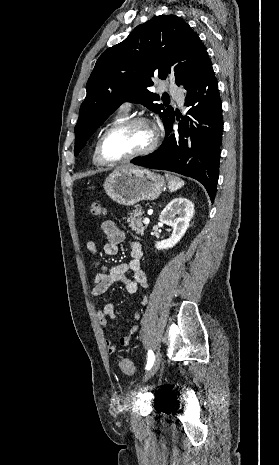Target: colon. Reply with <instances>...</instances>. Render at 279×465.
Returning a JSON list of instances; mask_svg holds the SVG:
<instances>
[{"label":"colon","mask_w":279,"mask_h":465,"mask_svg":"<svg viewBox=\"0 0 279 465\" xmlns=\"http://www.w3.org/2000/svg\"><path fill=\"white\" fill-rule=\"evenodd\" d=\"M90 213L92 217H100L104 214V207L97 202H94L90 206ZM121 371L126 375H133L135 373L134 363L129 359H122L120 361Z\"/></svg>","instance_id":"obj_1"}]
</instances>
